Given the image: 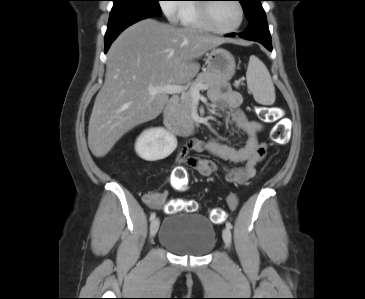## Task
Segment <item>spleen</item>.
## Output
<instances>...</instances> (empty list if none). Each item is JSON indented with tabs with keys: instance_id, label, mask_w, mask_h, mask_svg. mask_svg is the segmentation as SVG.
Returning <instances> with one entry per match:
<instances>
[{
	"instance_id": "3e777b00",
	"label": "spleen",
	"mask_w": 365,
	"mask_h": 299,
	"mask_svg": "<svg viewBox=\"0 0 365 299\" xmlns=\"http://www.w3.org/2000/svg\"><path fill=\"white\" fill-rule=\"evenodd\" d=\"M247 86L256 102L272 105L275 102V87L264 63L251 55L246 72Z\"/></svg>"
}]
</instances>
